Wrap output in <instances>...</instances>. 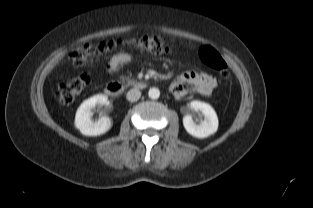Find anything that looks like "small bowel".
<instances>
[{"instance_id":"1","label":"small bowel","mask_w":313,"mask_h":208,"mask_svg":"<svg viewBox=\"0 0 313 208\" xmlns=\"http://www.w3.org/2000/svg\"><path fill=\"white\" fill-rule=\"evenodd\" d=\"M130 61L131 56L129 54L124 52L117 53L110 59L108 70L112 74L117 73ZM215 84V79L208 74L185 70L172 81L169 90L173 96L178 98L184 97L190 93L209 96L211 95Z\"/></svg>"}]
</instances>
